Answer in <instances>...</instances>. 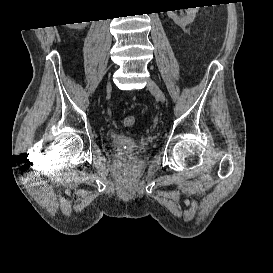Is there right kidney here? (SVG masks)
<instances>
[{
    "mask_svg": "<svg viewBox=\"0 0 273 273\" xmlns=\"http://www.w3.org/2000/svg\"><path fill=\"white\" fill-rule=\"evenodd\" d=\"M86 24H87V22L75 23V25H78V26H74V28L81 29V28H84L86 26Z\"/></svg>",
    "mask_w": 273,
    "mask_h": 273,
    "instance_id": "ca27d5eb",
    "label": "right kidney"
}]
</instances>
